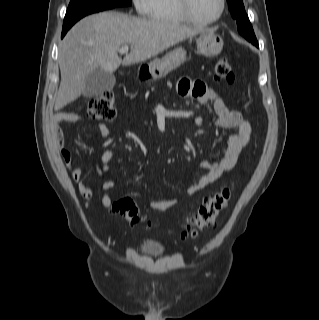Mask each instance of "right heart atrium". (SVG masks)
Instances as JSON below:
<instances>
[{"label": "right heart atrium", "mask_w": 319, "mask_h": 320, "mask_svg": "<svg viewBox=\"0 0 319 320\" xmlns=\"http://www.w3.org/2000/svg\"><path fill=\"white\" fill-rule=\"evenodd\" d=\"M154 0H132L136 11L140 14H148Z\"/></svg>", "instance_id": "right-heart-atrium-1"}]
</instances>
